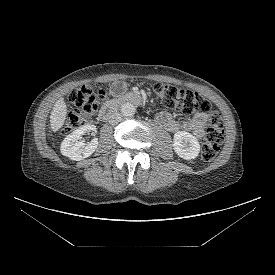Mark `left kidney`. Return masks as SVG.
<instances>
[{
  "label": "left kidney",
  "mask_w": 275,
  "mask_h": 275,
  "mask_svg": "<svg viewBox=\"0 0 275 275\" xmlns=\"http://www.w3.org/2000/svg\"><path fill=\"white\" fill-rule=\"evenodd\" d=\"M173 147L176 154L186 160L196 158L200 151L197 138L186 131H178L174 134Z\"/></svg>",
  "instance_id": "5707ae66"
}]
</instances>
